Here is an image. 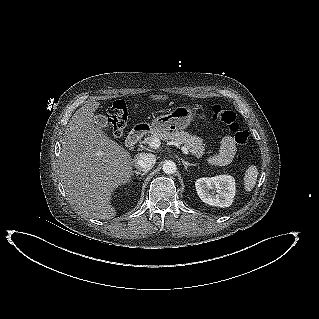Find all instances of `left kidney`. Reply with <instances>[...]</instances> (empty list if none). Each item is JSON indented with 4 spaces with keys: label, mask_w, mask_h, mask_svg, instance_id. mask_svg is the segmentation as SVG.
<instances>
[{
    "label": "left kidney",
    "mask_w": 319,
    "mask_h": 319,
    "mask_svg": "<svg viewBox=\"0 0 319 319\" xmlns=\"http://www.w3.org/2000/svg\"><path fill=\"white\" fill-rule=\"evenodd\" d=\"M235 180L230 175L199 178L195 187L200 199L212 206L229 207L235 196Z\"/></svg>",
    "instance_id": "1"
}]
</instances>
